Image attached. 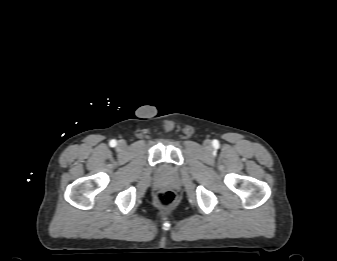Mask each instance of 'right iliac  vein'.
Listing matches in <instances>:
<instances>
[{
  "label": "right iliac vein",
  "mask_w": 337,
  "mask_h": 261,
  "mask_svg": "<svg viewBox=\"0 0 337 261\" xmlns=\"http://www.w3.org/2000/svg\"><path fill=\"white\" fill-rule=\"evenodd\" d=\"M126 147V142L124 140H120L118 142V148L119 149H124Z\"/></svg>",
  "instance_id": "63e3f726"
}]
</instances>
